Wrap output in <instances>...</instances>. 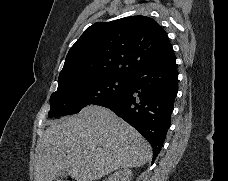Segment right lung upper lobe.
Here are the masks:
<instances>
[{
	"label": "right lung upper lobe",
	"instance_id": "right-lung-upper-lobe-1",
	"mask_svg": "<svg viewBox=\"0 0 228 181\" xmlns=\"http://www.w3.org/2000/svg\"><path fill=\"white\" fill-rule=\"evenodd\" d=\"M171 51L165 31L150 17L97 22L69 50L58 86L110 74L131 77Z\"/></svg>",
	"mask_w": 228,
	"mask_h": 181
}]
</instances>
